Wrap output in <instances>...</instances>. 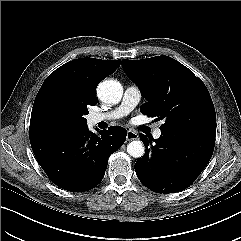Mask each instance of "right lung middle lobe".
<instances>
[{
  "label": "right lung middle lobe",
  "mask_w": 241,
  "mask_h": 241,
  "mask_svg": "<svg viewBox=\"0 0 241 241\" xmlns=\"http://www.w3.org/2000/svg\"><path fill=\"white\" fill-rule=\"evenodd\" d=\"M85 106L78 105L70 97L55 93L46 97L38 106L34 131L43 137L63 134L87 126Z\"/></svg>",
  "instance_id": "1"
}]
</instances>
